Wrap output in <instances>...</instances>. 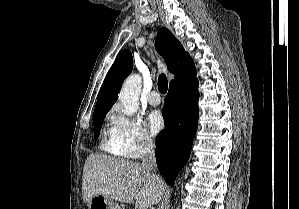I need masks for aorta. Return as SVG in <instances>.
I'll list each match as a JSON object with an SVG mask.
<instances>
[{
  "mask_svg": "<svg viewBox=\"0 0 299 209\" xmlns=\"http://www.w3.org/2000/svg\"><path fill=\"white\" fill-rule=\"evenodd\" d=\"M141 87V77L138 74L129 76L122 86L118 98L127 116H132L139 108Z\"/></svg>",
  "mask_w": 299,
  "mask_h": 209,
  "instance_id": "obj_1",
  "label": "aorta"
}]
</instances>
